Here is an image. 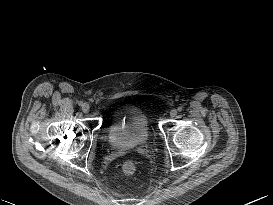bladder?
<instances>
[{
	"mask_svg": "<svg viewBox=\"0 0 273 205\" xmlns=\"http://www.w3.org/2000/svg\"><path fill=\"white\" fill-rule=\"evenodd\" d=\"M151 128L145 109L135 103L115 107L109 116L107 141L117 150H131L147 143Z\"/></svg>",
	"mask_w": 273,
	"mask_h": 205,
	"instance_id": "obj_1",
	"label": "bladder"
}]
</instances>
